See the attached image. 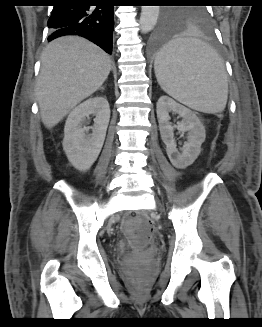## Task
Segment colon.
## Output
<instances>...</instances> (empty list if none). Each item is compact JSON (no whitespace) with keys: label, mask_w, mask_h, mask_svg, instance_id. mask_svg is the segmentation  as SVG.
<instances>
[{"label":"colon","mask_w":262,"mask_h":327,"mask_svg":"<svg viewBox=\"0 0 262 327\" xmlns=\"http://www.w3.org/2000/svg\"><path fill=\"white\" fill-rule=\"evenodd\" d=\"M124 229L135 244H145L152 238L153 227L145 215L130 214L124 223Z\"/></svg>","instance_id":"1"}]
</instances>
